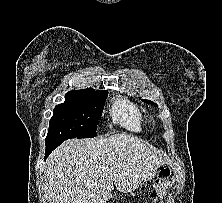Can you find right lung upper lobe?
Wrapping results in <instances>:
<instances>
[{"mask_svg": "<svg viewBox=\"0 0 222 203\" xmlns=\"http://www.w3.org/2000/svg\"><path fill=\"white\" fill-rule=\"evenodd\" d=\"M70 92H107V91H94V89H91V88H86L84 90H73V91H70Z\"/></svg>", "mask_w": 222, "mask_h": 203, "instance_id": "cb5924a9", "label": "right lung upper lobe"}]
</instances>
